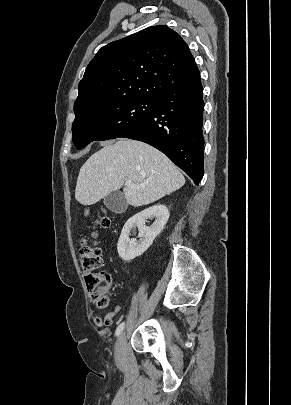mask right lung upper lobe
Instances as JSON below:
<instances>
[{
    "label": "right lung upper lobe",
    "mask_w": 291,
    "mask_h": 405,
    "mask_svg": "<svg viewBox=\"0 0 291 405\" xmlns=\"http://www.w3.org/2000/svg\"><path fill=\"white\" fill-rule=\"evenodd\" d=\"M199 76L178 33L164 25L148 27L98 51L79 83L74 112L124 97L155 99Z\"/></svg>",
    "instance_id": "right-lung-upper-lobe-1"
}]
</instances>
